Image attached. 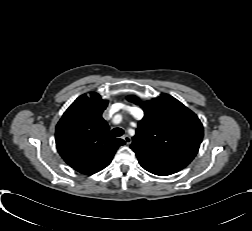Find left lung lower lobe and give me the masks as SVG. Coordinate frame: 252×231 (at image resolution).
<instances>
[{
  "label": "left lung lower lobe",
  "instance_id": "obj_1",
  "mask_svg": "<svg viewBox=\"0 0 252 231\" xmlns=\"http://www.w3.org/2000/svg\"><path fill=\"white\" fill-rule=\"evenodd\" d=\"M138 161L145 170L159 176H167L176 173L188 165L176 161H155L146 159H138Z\"/></svg>",
  "mask_w": 252,
  "mask_h": 231
}]
</instances>
